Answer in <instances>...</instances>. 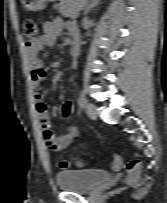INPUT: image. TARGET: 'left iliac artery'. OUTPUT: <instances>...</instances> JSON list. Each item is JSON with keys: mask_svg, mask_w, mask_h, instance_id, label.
Segmentation results:
<instances>
[{"mask_svg": "<svg viewBox=\"0 0 167 203\" xmlns=\"http://www.w3.org/2000/svg\"><path fill=\"white\" fill-rule=\"evenodd\" d=\"M79 103L81 106H85V104H86V98L83 94H81L79 97Z\"/></svg>", "mask_w": 167, "mask_h": 203, "instance_id": "1", "label": "left iliac artery"}]
</instances>
